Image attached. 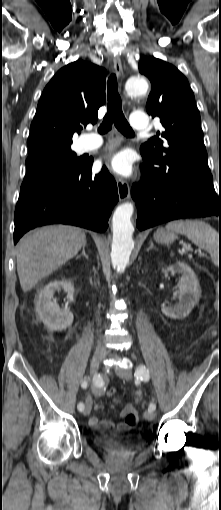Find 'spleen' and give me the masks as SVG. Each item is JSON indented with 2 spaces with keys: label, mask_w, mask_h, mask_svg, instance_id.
Listing matches in <instances>:
<instances>
[{
  "label": "spleen",
  "mask_w": 221,
  "mask_h": 510,
  "mask_svg": "<svg viewBox=\"0 0 221 510\" xmlns=\"http://www.w3.org/2000/svg\"><path fill=\"white\" fill-rule=\"evenodd\" d=\"M167 230H172L185 235L198 247L208 251L214 262L218 261L219 237L215 229L201 220H174L166 225Z\"/></svg>",
  "instance_id": "3e777b00"
}]
</instances>
